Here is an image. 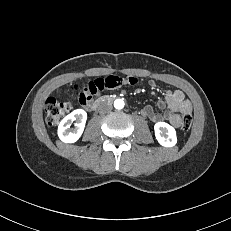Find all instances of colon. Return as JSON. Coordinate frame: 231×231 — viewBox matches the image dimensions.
Returning a JSON list of instances; mask_svg holds the SVG:
<instances>
[{
	"label": "colon",
	"mask_w": 231,
	"mask_h": 231,
	"mask_svg": "<svg viewBox=\"0 0 231 231\" xmlns=\"http://www.w3.org/2000/svg\"><path fill=\"white\" fill-rule=\"evenodd\" d=\"M113 76V75H112ZM77 88H79L77 86ZM46 122L49 126H56L60 120L67 115L71 109L72 105L68 101H60L54 97L49 98L46 101ZM192 124L191 114H186L183 116L181 121V128L184 131L190 129Z\"/></svg>",
	"instance_id": "1"
}]
</instances>
